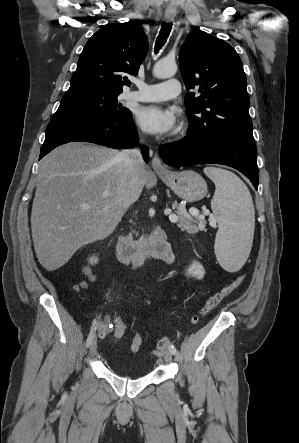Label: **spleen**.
Instances as JSON below:
<instances>
[{"instance_id":"1","label":"spleen","mask_w":299,"mask_h":443,"mask_svg":"<svg viewBox=\"0 0 299 443\" xmlns=\"http://www.w3.org/2000/svg\"><path fill=\"white\" fill-rule=\"evenodd\" d=\"M214 182L211 209L219 224L214 250L223 269L236 272L245 264L253 241L255 212L251 194L234 173L215 167L204 168Z\"/></svg>"}]
</instances>
